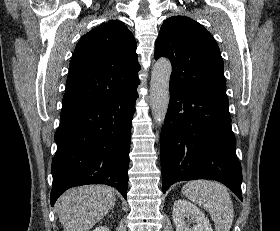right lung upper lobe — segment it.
Masks as SVG:
<instances>
[{"label":"right lung upper lobe","instance_id":"obj_1","mask_svg":"<svg viewBox=\"0 0 280 231\" xmlns=\"http://www.w3.org/2000/svg\"><path fill=\"white\" fill-rule=\"evenodd\" d=\"M137 58L134 36L121 21L110 20L86 33L71 59L61 112L135 91Z\"/></svg>","mask_w":280,"mask_h":231}]
</instances>
